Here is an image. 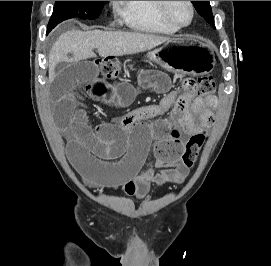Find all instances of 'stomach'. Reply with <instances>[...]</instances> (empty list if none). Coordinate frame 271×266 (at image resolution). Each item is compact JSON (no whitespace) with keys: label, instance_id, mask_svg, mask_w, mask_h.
Segmentation results:
<instances>
[{"label":"stomach","instance_id":"stomach-1","mask_svg":"<svg viewBox=\"0 0 271 266\" xmlns=\"http://www.w3.org/2000/svg\"><path fill=\"white\" fill-rule=\"evenodd\" d=\"M146 57L174 74L203 75L213 70L215 58L210 46L191 37L174 38Z\"/></svg>","mask_w":271,"mask_h":266}]
</instances>
